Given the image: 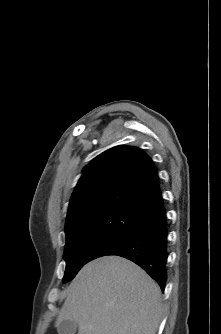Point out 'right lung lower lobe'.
I'll return each instance as SVG.
<instances>
[{"label": "right lung lower lobe", "mask_w": 221, "mask_h": 334, "mask_svg": "<svg viewBox=\"0 0 221 334\" xmlns=\"http://www.w3.org/2000/svg\"><path fill=\"white\" fill-rule=\"evenodd\" d=\"M167 242V218L160 197L140 215L132 230L106 255H117L135 262L164 291L167 280Z\"/></svg>", "instance_id": "right-lung-lower-lobe-1"}]
</instances>
